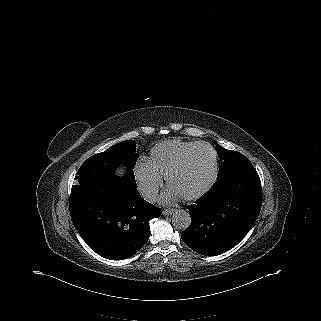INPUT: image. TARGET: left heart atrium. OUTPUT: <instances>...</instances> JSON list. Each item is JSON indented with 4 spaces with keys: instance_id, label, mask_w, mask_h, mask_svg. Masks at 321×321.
Instances as JSON below:
<instances>
[{
    "instance_id": "1",
    "label": "left heart atrium",
    "mask_w": 321,
    "mask_h": 321,
    "mask_svg": "<svg viewBox=\"0 0 321 321\" xmlns=\"http://www.w3.org/2000/svg\"><path fill=\"white\" fill-rule=\"evenodd\" d=\"M181 197L176 191H174L171 187L163 194V200L166 202L176 201Z\"/></svg>"
}]
</instances>
